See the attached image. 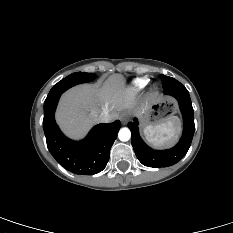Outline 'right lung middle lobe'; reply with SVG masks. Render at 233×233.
Wrapping results in <instances>:
<instances>
[{"label": "right lung middle lobe", "instance_id": "right-lung-middle-lobe-1", "mask_svg": "<svg viewBox=\"0 0 233 233\" xmlns=\"http://www.w3.org/2000/svg\"><path fill=\"white\" fill-rule=\"evenodd\" d=\"M96 75L94 73H85V72H76L67 76L66 78L59 81L53 88L50 90L47 98H52L58 94H62L64 91L70 87L80 84L90 82L95 79ZM46 98V99H47Z\"/></svg>", "mask_w": 233, "mask_h": 233}]
</instances>
